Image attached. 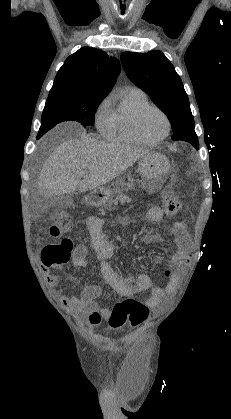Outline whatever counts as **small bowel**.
<instances>
[{
    "instance_id": "1",
    "label": "small bowel",
    "mask_w": 231,
    "mask_h": 419,
    "mask_svg": "<svg viewBox=\"0 0 231 419\" xmlns=\"http://www.w3.org/2000/svg\"><path fill=\"white\" fill-rule=\"evenodd\" d=\"M162 217L163 213L157 207L150 208L145 216L146 220L153 224L160 223ZM85 224L89 236L85 243L77 245L74 249L73 265L78 268L86 267L88 264V247H91L100 262V271L107 285L122 298H130L138 293L150 290V296L142 304L146 307L148 314L150 311H157L162 302L173 294L177 285L179 269L187 263L192 251V243L185 224L178 222L172 229L176 244V250L172 256V263L175 268L172 270L173 279L169 281L165 288L154 287L147 274H123L120 272L110 260L115 245L102 233L104 221L101 218L90 216L85 219ZM143 240L145 243H154L159 240V237L148 234L143 237ZM157 260H160V258ZM45 273L49 284H59L60 278L57 275L50 274L49 268H46ZM101 291L100 285L88 284L83 286L80 296L62 295L60 302L73 316H76L77 312L88 315L90 325L96 326L102 318L108 320L111 312L109 308H100L96 301Z\"/></svg>"
}]
</instances>
